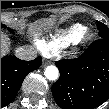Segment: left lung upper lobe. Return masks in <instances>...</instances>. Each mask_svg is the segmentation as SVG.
I'll use <instances>...</instances> for the list:
<instances>
[{
  "mask_svg": "<svg viewBox=\"0 0 109 109\" xmlns=\"http://www.w3.org/2000/svg\"><path fill=\"white\" fill-rule=\"evenodd\" d=\"M97 27L101 38H109V28L105 24L97 21Z\"/></svg>",
  "mask_w": 109,
  "mask_h": 109,
  "instance_id": "obj_1",
  "label": "left lung upper lobe"
}]
</instances>
